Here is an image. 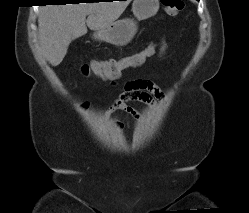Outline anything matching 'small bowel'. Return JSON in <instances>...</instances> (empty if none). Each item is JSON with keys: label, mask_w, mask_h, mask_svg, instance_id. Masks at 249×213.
Segmentation results:
<instances>
[{"label": "small bowel", "mask_w": 249, "mask_h": 213, "mask_svg": "<svg viewBox=\"0 0 249 213\" xmlns=\"http://www.w3.org/2000/svg\"><path fill=\"white\" fill-rule=\"evenodd\" d=\"M167 45L162 42L159 47V56L164 58L166 55ZM132 55L124 57L125 59L131 58ZM142 59L138 62L132 63L129 67H137L144 62ZM117 78V77H116ZM116 78H113L115 80ZM164 98L163 92L160 88L151 81L148 80H131L124 85V89L118 98L109 106L106 111V115H110L116 110H121L128 114L131 118L136 121H140L141 116L139 112L129 104L131 101L140 102L151 109L156 108L157 101ZM118 127H121V123H117Z\"/></svg>", "instance_id": "1"}]
</instances>
